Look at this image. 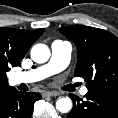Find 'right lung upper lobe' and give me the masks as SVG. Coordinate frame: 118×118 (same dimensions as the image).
I'll use <instances>...</instances> for the list:
<instances>
[{
	"instance_id": "right-lung-upper-lobe-1",
	"label": "right lung upper lobe",
	"mask_w": 118,
	"mask_h": 118,
	"mask_svg": "<svg viewBox=\"0 0 118 118\" xmlns=\"http://www.w3.org/2000/svg\"><path fill=\"white\" fill-rule=\"evenodd\" d=\"M44 29L19 30L0 27V60H4L9 67L17 66L24 58L32 44L43 34ZM11 88L7 77L0 76V92Z\"/></svg>"
}]
</instances>
